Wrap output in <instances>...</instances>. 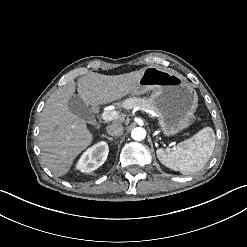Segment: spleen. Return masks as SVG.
<instances>
[{"label":"spleen","mask_w":247,"mask_h":247,"mask_svg":"<svg viewBox=\"0 0 247 247\" xmlns=\"http://www.w3.org/2000/svg\"><path fill=\"white\" fill-rule=\"evenodd\" d=\"M216 143V135L211 127H206L197 135L179 143L174 150H157L158 159L167 167L190 175L202 170L209 161Z\"/></svg>","instance_id":"spleen-1"}]
</instances>
